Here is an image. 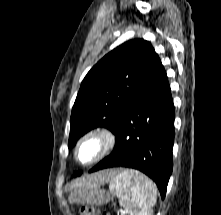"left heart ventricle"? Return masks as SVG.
<instances>
[{"mask_svg":"<svg viewBox=\"0 0 221 215\" xmlns=\"http://www.w3.org/2000/svg\"><path fill=\"white\" fill-rule=\"evenodd\" d=\"M93 152H94V145L89 144L83 148L81 152V157L83 159H89L92 156Z\"/></svg>","mask_w":221,"mask_h":215,"instance_id":"obj_1","label":"left heart ventricle"}]
</instances>
